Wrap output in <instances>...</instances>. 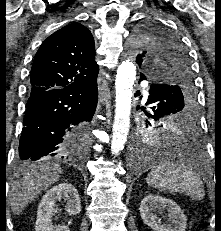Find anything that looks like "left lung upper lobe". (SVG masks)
<instances>
[{"instance_id": "1", "label": "left lung upper lobe", "mask_w": 221, "mask_h": 231, "mask_svg": "<svg viewBox=\"0 0 221 231\" xmlns=\"http://www.w3.org/2000/svg\"><path fill=\"white\" fill-rule=\"evenodd\" d=\"M139 54L136 63L165 88L156 102H147L148 117L185 113L195 101L189 55L180 40L164 27L144 24L135 32ZM140 76L145 77L143 73ZM146 78V77H145ZM146 109V108H144Z\"/></svg>"}]
</instances>
